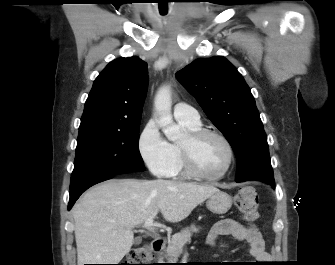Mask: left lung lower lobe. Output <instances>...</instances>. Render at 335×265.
<instances>
[{
	"instance_id": "left-lung-lower-lobe-1",
	"label": "left lung lower lobe",
	"mask_w": 335,
	"mask_h": 265,
	"mask_svg": "<svg viewBox=\"0 0 335 265\" xmlns=\"http://www.w3.org/2000/svg\"><path fill=\"white\" fill-rule=\"evenodd\" d=\"M237 182H240V181H237ZM266 183L271 185L272 187H275V182L274 181H267Z\"/></svg>"
}]
</instances>
